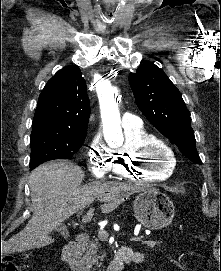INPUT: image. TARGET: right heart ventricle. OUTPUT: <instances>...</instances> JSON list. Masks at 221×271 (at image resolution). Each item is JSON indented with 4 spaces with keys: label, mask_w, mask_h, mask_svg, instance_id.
I'll use <instances>...</instances> for the list:
<instances>
[{
    "label": "right heart ventricle",
    "mask_w": 221,
    "mask_h": 271,
    "mask_svg": "<svg viewBox=\"0 0 221 271\" xmlns=\"http://www.w3.org/2000/svg\"><path fill=\"white\" fill-rule=\"evenodd\" d=\"M155 138L160 137L147 130L127 136L121 145L123 157L143 158L142 155H135L133 152L135 150H148L149 145L154 144ZM143 145H146V148H143ZM156 147L163 149L165 152L168 150L166 147L164 148V144H156ZM154 161L153 167H157V171H149L148 167L145 169V164H122L120 161L117 164H110V169L120 179H134V183H147V181H156V179H171L172 167L176 166L175 158H156ZM141 169L146 171H140Z\"/></svg>",
    "instance_id": "right-heart-ventricle-1"
}]
</instances>
